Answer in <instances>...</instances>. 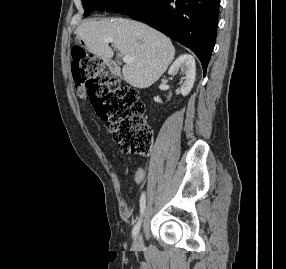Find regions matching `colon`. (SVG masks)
Returning <instances> with one entry per match:
<instances>
[{
    "instance_id": "colon-1",
    "label": "colon",
    "mask_w": 286,
    "mask_h": 269,
    "mask_svg": "<svg viewBox=\"0 0 286 269\" xmlns=\"http://www.w3.org/2000/svg\"><path fill=\"white\" fill-rule=\"evenodd\" d=\"M71 71L76 85L85 87L97 115L106 122L120 149L136 156L149 153L153 132L143 117L137 91L120 84L99 58L81 44L71 48Z\"/></svg>"
}]
</instances>
